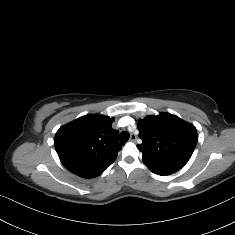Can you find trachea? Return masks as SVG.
Listing matches in <instances>:
<instances>
[{
	"label": "trachea",
	"instance_id": "3493384b",
	"mask_svg": "<svg viewBox=\"0 0 235 235\" xmlns=\"http://www.w3.org/2000/svg\"><path fill=\"white\" fill-rule=\"evenodd\" d=\"M129 137H130V135H129L128 132L122 131L120 133L119 139H120L121 142H126L129 139Z\"/></svg>",
	"mask_w": 235,
	"mask_h": 235
}]
</instances>
